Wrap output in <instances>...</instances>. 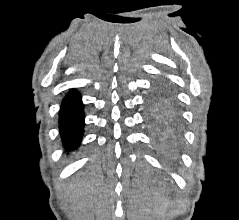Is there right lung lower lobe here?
<instances>
[{"mask_svg":"<svg viewBox=\"0 0 239 220\" xmlns=\"http://www.w3.org/2000/svg\"><path fill=\"white\" fill-rule=\"evenodd\" d=\"M59 123L65 148H76L81 141L84 127V108L81 97L76 91H70L63 99Z\"/></svg>","mask_w":239,"mask_h":220,"instance_id":"98d812e1","label":"right lung lower lobe"}]
</instances>
